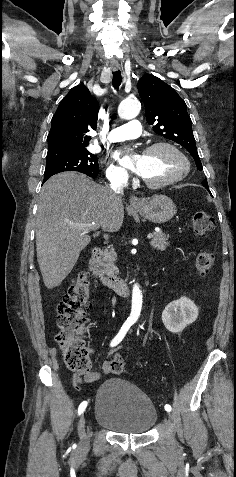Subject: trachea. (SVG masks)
Listing matches in <instances>:
<instances>
[{"instance_id": "obj_1", "label": "trachea", "mask_w": 236, "mask_h": 477, "mask_svg": "<svg viewBox=\"0 0 236 477\" xmlns=\"http://www.w3.org/2000/svg\"><path fill=\"white\" fill-rule=\"evenodd\" d=\"M121 72L120 70L113 72L112 84L115 89H118L121 84Z\"/></svg>"}]
</instances>
